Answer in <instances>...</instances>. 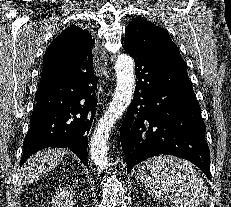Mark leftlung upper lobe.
<instances>
[{"label":"left lung upper lobe","instance_id":"1","mask_svg":"<svg viewBox=\"0 0 231 207\" xmlns=\"http://www.w3.org/2000/svg\"><path fill=\"white\" fill-rule=\"evenodd\" d=\"M124 49L131 56L148 54L168 60L182 59L169 33L142 17L134 18L126 27Z\"/></svg>","mask_w":231,"mask_h":207}]
</instances>
